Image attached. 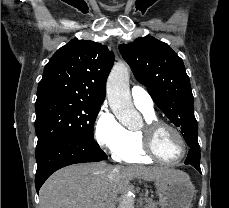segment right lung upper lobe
<instances>
[{"label":"right lung upper lobe","mask_w":229,"mask_h":208,"mask_svg":"<svg viewBox=\"0 0 229 208\" xmlns=\"http://www.w3.org/2000/svg\"><path fill=\"white\" fill-rule=\"evenodd\" d=\"M113 63L114 54L107 46L90 40H71L46 64L36 102L64 97L101 107Z\"/></svg>","instance_id":"cb5924a9"}]
</instances>
